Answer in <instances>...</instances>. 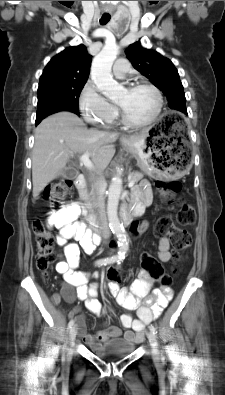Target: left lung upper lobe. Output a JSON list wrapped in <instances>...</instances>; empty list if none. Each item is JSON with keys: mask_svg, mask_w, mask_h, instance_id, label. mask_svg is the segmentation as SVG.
<instances>
[{"mask_svg": "<svg viewBox=\"0 0 225 395\" xmlns=\"http://www.w3.org/2000/svg\"><path fill=\"white\" fill-rule=\"evenodd\" d=\"M125 52L133 67L164 93L169 107L188 115L183 86L173 63L160 53L143 48L139 41Z\"/></svg>", "mask_w": 225, "mask_h": 395, "instance_id": "5c2ea615", "label": "left lung upper lobe"}]
</instances>
